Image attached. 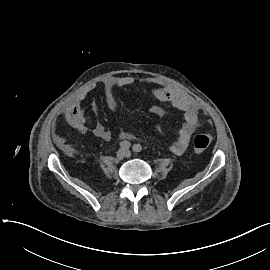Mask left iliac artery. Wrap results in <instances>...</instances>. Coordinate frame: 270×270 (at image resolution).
I'll return each mask as SVG.
<instances>
[{"instance_id":"obj_1","label":"left iliac artery","mask_w":270,"mask_h":270,"mask_svg":"<svg viewBox=\"0 0 270 270\" xmlns=\"http://www.w3.org/2000/svg\"><path fill=\"white\" fill-rule=\"evenodd\" d=\"M132 149L134 152H141L142 147L140 144H135V145H133Z\"/></svg>"}]
</instances>
